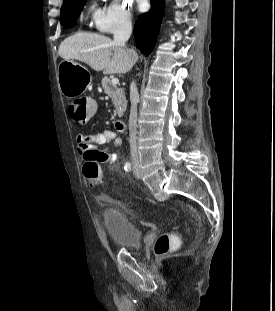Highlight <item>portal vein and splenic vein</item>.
<instances>
[{
	"instance_id": "portal-vein-and-splenic-vein-1",
	"label": "portal vein and splenic vein",
	"mask_w": 275,
	"mask_h": 311,
	"mask_svg": "<svg viewBox=\"0 0 275 311\" xmlns=\"http://www.w3.org/2000/svg\"><path fill=\"white\" fill-rule=\"evenodd\" d=\"M111 82H112L113 85H117V84H119V79L113 78V79L111 80Z\"/></svg>"
}]
</instances>
